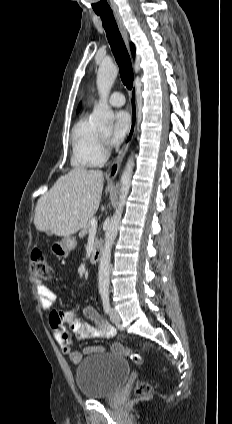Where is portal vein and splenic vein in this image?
Masks as SVG:
<instances>
[{"mask_svg": "<svg viewBox=\"0 0 232 424\" xmlns=\"http://www.w3.org/2000/svg\"><path fill=\"white\" fill-rule=\"evenodd\" d=\"M96 230H97V220L96 219H93L92 221H91V227H90V229H89V232L90 233H94V232H96Z\"/></svg>", "mask_w": 232, "mask_h": 424, "instance_id": "18ae733b", "label": "portal vein and splenic vein"}]
</instances>
